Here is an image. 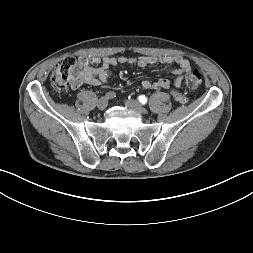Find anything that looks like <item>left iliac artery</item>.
<instances>
[{
    "label": "left iliac artery",
    "mask_w": 253,
    "mask_h": 253,
    "mask_svg": "<svg viewBox=\"0 0 253 253\" xmlns=\"http://www.w3.org/2000/svg\"><path fill=\"white\" fill-rule=\"evenodd\" d=\"M138 100L142 103L145 104L147 102V98L144 95L139 96Z\"/></svg>",
    "instance_id": "obj_1"
}]
</instances>
